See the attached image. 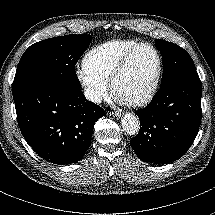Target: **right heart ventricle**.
Here are the masks:
<instances>
[{"label": "right heart ventricle", "mask_w": 215, "mask_h": 215, "mask_svg": "<svg viewBox=\"0 0 215 215\" xmlns=\"http://www.w3.org/2000/svg\"><path fill=\"white\" fill-rule=\"evenodd\" d=\"M138 42L117 39L92 48L83 58V69L92 77L108 83L124 54Z\"/></svg>", "instance_id": "obj_1"}]
</instances>
